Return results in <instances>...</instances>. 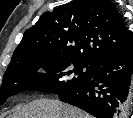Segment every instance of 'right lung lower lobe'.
Masks as SVG:
<instances>
[{"label": "right lung lower lobe", "mask_w": 133, "mask_h": 118, "mask_svg": "<svg viewBox=\"0 0 133 118\" xmlns=\"http://www.w3.org/2000/svg\"><path fill=\"white\" fill-rule=\"evenodd\" d=\"M132 74L133 46L129 43L95 63L88 82L58 96L97 118H124L129 109Z\"/></svg>", "instance_id": "obj_1"}]
</instances>
